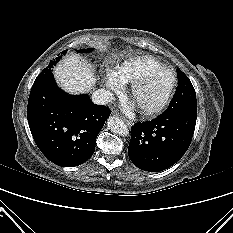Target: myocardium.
Listing matches in <instances>:
<instances>
[{
	"label": "myocardium",
	"mask_w": 233,
	"mask_h": 233,
	"mask_svg": "<svg viewBox=\"0 0 233 233\" xmlns=\"http://www.w3.org/2000/svg\"><path fill=\"white\" fill-rule=\"evenodd\" d=\"M157 72L165 73L169 75L170 77V84L166 92L156 103L152 105L143 106V105L137 104V98H138L140 89L145 85V83L150 79V77ZM175 85H176V76L171 69L164 67V66L153 68V69L146 71L143 75H141L138 79H136L132 83L131 97L136 102L139 111L143 115H146V116L155 115L159 113L160 111H162L166 107V105L169 103L171 96L173 94V91L175 89Z\"/></svg>",
	"instance_id": "1"
}]
</instances>
